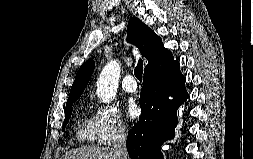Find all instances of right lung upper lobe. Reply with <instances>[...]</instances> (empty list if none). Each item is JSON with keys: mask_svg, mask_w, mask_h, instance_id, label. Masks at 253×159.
I'll return each instance as SVG.
<instances>
[{"mask_svg": "<svg viewBox=\"0 0 253 159\" xmlns=\"http://www.w3.org/2000/svg\"><path fill=\"white\" fill-rule=\"evenodd\" d=\"M127 39L129 42L136 45L142 56L146 57L148 60L144 74L164 72L178 64L177 61L173 60L172 53L164 48L161 38L136 17H132L129 20L127 26ZM93 71L94 61L92 59L82 64L76 74L67 101L81 96Z\"/></svg>", "mask_w": 253, "mask_h": 159, "instance_id": "obj_1", "label": "right lung upper lobe"}]
</instances>
